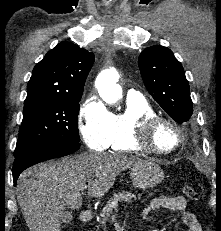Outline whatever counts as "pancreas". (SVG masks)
<instances>
[{
	"mask_svg": "<svg viewBox=\"0 0 221 231\" xmlns=\"http://www.w3.org/2000/svg\"><path fill=\"white\" fill-rule=\"evenodd\" d=\"M140 197H141L140 194L137 197L135 194L128 192V191H122V192L113 194V198H111L107 202L106 206L102 209L100 213V217H101L100 223L102 225H105L106 221L108 220L110 215L113 213V211L117 210L119 202L130 203L132 202V200H137Z\"/></svg>",
	"mask_w": 221,
	"mask_h": 231,
	"instance_id": "cf45deb5",
	"label": "pancreas"
}]
</instances>
